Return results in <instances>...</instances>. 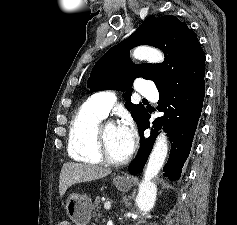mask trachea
Wrapping results in <instances>:
<instances>
[{
	"label": "trachea",
	"mask_w": 237,
	"mask_h": 225,
	"mask_svg": "<svg viewBox=\"0 0 237 225\" xmlns=\"http://www.w3.org/2000/svg\"><path fill=\"white\" fill-rule=\"evenodd\" d=\"M142 101L148 103L146 99H143Z\"/></svg>",
	"instance_id": "trachea-1"
}]
</instances>
